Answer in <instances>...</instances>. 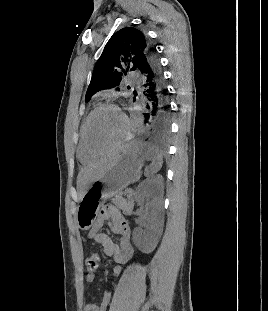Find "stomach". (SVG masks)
<instances>
[{
    "instance_id": "obj_1",
    "label": "stomach",
    "mask_w": 268,
    "mask_h": 311,
    "mask_svg": "<svg viewBox=\"0 0 268 311\" xmlns=\"http://www.w3.org/2000/svg\"><path fill=\"white\" fill-rule=\"evenodd\" d=\"M147 153L146 146L126 147L114 158L102 176L87 188L81 197L75 215L79 229L89 230L102 204L120 194L129 184L140 179L141 168L147 160Z\"/></svg>"
}]
</instances>
